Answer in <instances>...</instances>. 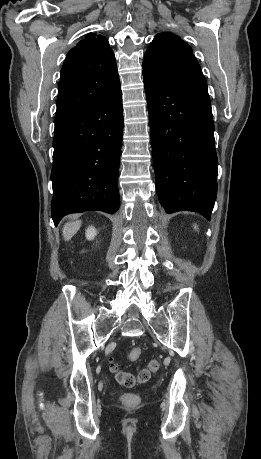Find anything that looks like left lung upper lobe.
Masks as SVG:
<instances>
[{
	"instance_id": "left-lung-upper-lobe-1",
	"label": "left lung upper lobe",
	"mask_w": 261,
	"mask_h": 459,
	"mask_svg": "<svg viewBox=\"0 0 261 459\" xmlns=\"http://www.w3.org/2000/svg\"><path fill=\"white\" fill-rule=\"evenodd\" d=\"M142 66L172 81L207 84L191 47L169 32L154 38L144 55Z\"/></svg>"
}]
</instances>
